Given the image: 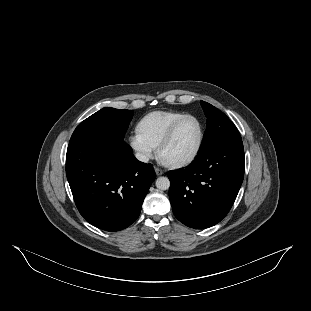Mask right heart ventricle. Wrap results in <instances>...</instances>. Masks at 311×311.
<instances>
[{
    "label": "right heart ventricle",
    "instance_id": "obj_1",
    "mask_svg": "<svg viewBox=\"0 0 311 311\" xmlns=\"http://www.w3.org/2000/svg\"><path fill=\"white\" fill-rule=\"evenodd\" d=\"M186 115L178 111H152L142 116L135 124L137 137L153 149L167 134L172 125Z\"/></svg>",
    "mask_w": 311,
    "mask_h": 311
}]
</instances>
